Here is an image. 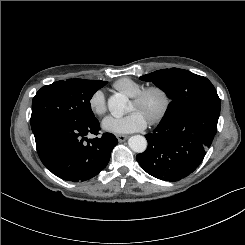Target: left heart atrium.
I'll list each match as a JSON object with an SVG mask.
<instances>
[{"mask_svg":"<svg viewBox=\"0 0 245 245\" xmlns=\"http://www.w3.org/2000/svg\"><path fill=\"white\" fill-rule=\"evenodd\" d=\"M146 119L138 111H133L123 117L108 116L102 122L105 131L113 134H126L144 129Z\"/></svg>","mask_w":245,"mask_h":245,"instance_id":"obj_1","label":"left heart atrium"}]
</instances>
